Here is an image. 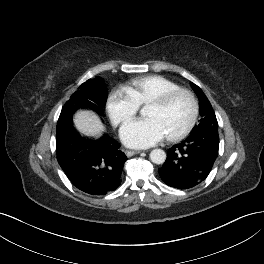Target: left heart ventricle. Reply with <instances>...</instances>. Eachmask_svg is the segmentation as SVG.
Instances as JSON below:
<instances>
[{
  "mask_svg": "<svg viewBox=\"0 0 264 264\" xmlns=\"http://www.w3.org/2000/svg\"><path fill=\"white\" fill-rule=\"evenodd\" d=\"M191 113L190 102L185 96H179L166 107L148 105L145 116L157 120L166 135L177 132L188 121Z\"/></svg>",
  "mask_w": 264,
  "mask_h": 264,
  "instance_id": "b2bd125f",
  "label": "left heart ventricle"
}]
</instances>
